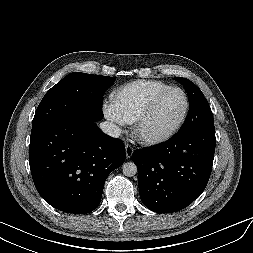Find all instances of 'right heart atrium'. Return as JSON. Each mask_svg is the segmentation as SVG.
<instances>
[{
    "mask_svg": "<svg viewBox=\"0 0 253 253\" xmlns=\"http://www.w3.org/2000/svg\"><path fill=\"white\" fill-rule=\"evenodd\" d=\"M104 113L108 120L119 126H122L125 123L116 107L114 106L113 102L111 101H108L104 104Z\"/></svg>",
    "mask_w": 253,
    "mask_h": 253,
    "instance_id": "1",
    "label": "right heart atrium"
}]
</instances>
